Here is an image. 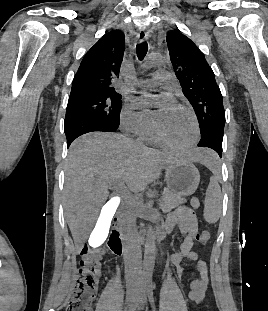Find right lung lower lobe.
Listing matches in <instances>:
<instances>
[{"mask_svg":"<svg viewBox=\"0 0 268 311\" xmlns=\"http://www.w3.org/2000/svg\"><path fill=\"white\" fill-rule=\"evenodd\" d=\"M119 127L118 125H109L101 121H97L94 119H86L80 118L68 126H65V134L67 138V146L69 147L70 144L75 140L77 137L94 131H103V132H115Z\"/></svg>","mask_w":268,"mask_h":311,"instance_id":"98d812e1","label":"right lung lower lobe"}]
</instances>
